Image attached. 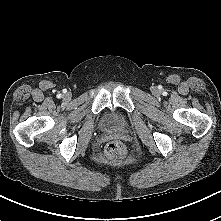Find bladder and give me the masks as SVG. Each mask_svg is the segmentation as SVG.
Instances as JSON below:
<instances>
[{
  "instance_id": "31cf9c89",
  "label": "bladder",
  "mask_w": 221,
  "mask_h": 221,
  "mask_svg": "<svg viewBox=\"0 0 221 221\" xmlns=\"http://www.w3.org/2000/svg\"><path fill=\"white\" fill-rule=\"evenodd\" d=\"M101 125L107 130H123L127 126V120L122 114L108 110L101 118Z\"/></svg>"
}]
</instances>
